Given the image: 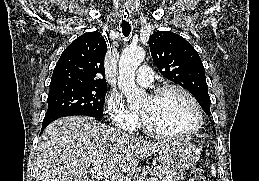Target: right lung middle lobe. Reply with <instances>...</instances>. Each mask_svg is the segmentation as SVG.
Listing matches in <instances>:
<instances>
[{
    "label": "right lung middle lobe",
    "instance_id": "dd1d6c3e",
    "mask_svg": "<svg viewBox=\"0 0 259 181\" xmlns=\"http://www.w3.org/2000/svg\"><path fill=\"white\" fill-rule=\"evenodd\" d=\"M106 87L82 85L51 86L48 94V110L43 123L71 115L103 117Z\"/></svg>",
    "mask_w": 259,
    "mask_h": 181
}]
</instances>
